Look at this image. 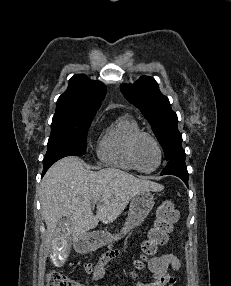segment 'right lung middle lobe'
Returning <instances> with one entry per match:
<instances>
[{
    "label": "right lung middle lobe",
    "instance_id": "dd1d6c3e",
    "mask_svg": "<svg viewBox=\"0 0 231 286\" xmlns=\"http://www.w3.org/2000/svg\"><path fill=\"white\" fill-rule=\"evenodd\" d=\"M96 113L56 112L43 163L86 153L87 131Z\"/></svg>",
    "mask_w": 231,
    "mask_h": 286
}]
</instances>
